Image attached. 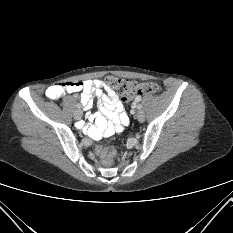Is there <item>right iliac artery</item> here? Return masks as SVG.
<instances>
[{
	"instance_id": "82829eb1",
	"label": "right iliac artery",
	"mask_w": 233,
	"mask_h": 233,
	"mask_svg": "<svg viewBox=\"0 0 233 233\" xmlns=\"http://www.w3.org/2000/svg\"><path fill=\"white\" fill-rule=\"evenodd\" d=\"M77 107L80 109L81 108V104H77Z\"/></svg>"
}]
</instances>
